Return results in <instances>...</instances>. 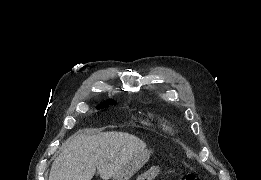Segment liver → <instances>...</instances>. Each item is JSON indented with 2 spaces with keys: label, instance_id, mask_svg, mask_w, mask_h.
Segmentation results:
<instances>
[{
  "label": "liver",
  "instance_id": "liver-1",
  "mask_svg": "<svg viewBox=\"0 0 261 180\" xmlns=\"http://www.w3.org/2000/svg\"><path fill=\"white\" fill-rule=\"evenodd\" d=\"M145 148L143 140L126 132L93 136L82 130L67 140L51 166L49 180H92L96 172L102 180H110Z\"/></svg>",
  "mask_w": 261,
  "mask_h": 180
}]
</instances>
